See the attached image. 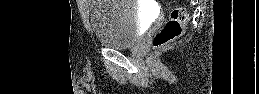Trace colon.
<instances>
[{
	"instance_id": "obj_1",
	"label": "colon",
	"mask_w": 259,
	"mask_h": 94,
	"mask_svg": "<svg viewBox=\"0 0 259 94\" xmlns=\"http://www.w3.org/2000/svg\"><path fill=\"white\" fill-rule=\"evenodd\" d=\"M187 21V13L183 8H174L169 19L156 33L153 41L155 49L162 48L174 41L183 34L184 26Z\"/></svg>"
}]
</instances>
